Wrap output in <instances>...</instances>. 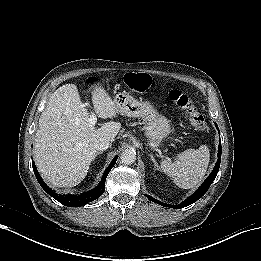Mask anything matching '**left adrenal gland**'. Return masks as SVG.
<instances>
[{
	"label": "left adrenal gland",
	"instance_id": "left-adrenal-gland-1",
	"mask_svg": "<svg viewBox=\"0 0 261 261\" xmlns=\"http://www.w3.org/2000/svg\"><path fill=\"white\" fill-rule=\"evenodd\" d=\"M150 157H151V160L153 161L154 166L156 167V169L160 170L161 168H160V166L158 165V163L156 162V160H155V158L153 157L152 154H150Z\"/></svg>",
	"mask_w": 261,
	"mask_h": 261
}]
</instances>
